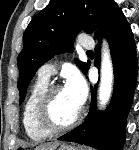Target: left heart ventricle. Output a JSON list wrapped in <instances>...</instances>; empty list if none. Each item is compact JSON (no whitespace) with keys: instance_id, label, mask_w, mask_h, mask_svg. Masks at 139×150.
I'll return each instance as SVG.
<instances>
[{"instance_id":"obj_1","label":"left heart ventricle","mask_w":139,"mask_h":150,"mask_svg":"<svg viewBox=\"0 0 139 150\" xmlns=\"http://www.w3.org/2000/svg\"><path fill=\"white\" fill-rule=\"evenodd\" d=\"M80 107L63 88L52 97L49 107L50 119L57 125L68 124L75 118Z\"/></svg>"}]
</instances>
